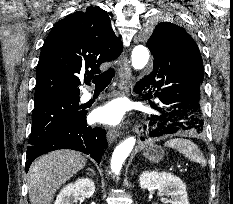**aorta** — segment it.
I'll use <instances>...</instances> for the list:
<instances>
[{
    "instance_id": "762f6f07",
    "label": "aorta",
    "mask_w": 233,
    "mask_h": 204,
    "mask_svg": "<svg viewBox=\"0 0 233 204\" xmlns=\"http://www.w3.org/2000/svg\"><path fill=\"white\" fill-rule=\"evenodd\" d=\"M149 60V51L143 45H137L131 55V64L134 69H143ZM136 143L135 137H129L120 143L114 150L111 158V171L115 175H119L124 161L134 148Z\"/></svg>"
}]
</instances>
